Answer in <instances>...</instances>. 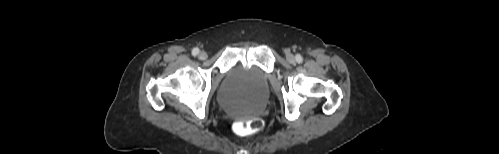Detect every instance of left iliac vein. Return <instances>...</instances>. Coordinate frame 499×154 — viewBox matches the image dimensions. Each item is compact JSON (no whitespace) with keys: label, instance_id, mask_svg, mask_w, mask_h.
Returning a JSON list of instances; mask_svg holds the SVG:
<instances>
[{"label":"left iliac vein","instance_id":"left-iliac-vein-1","mask_svg":"<svg viewBox=\"0 0 499 154\" xmlns=\"http://www.w3.org/2000/svg\"><path fill=\"white\" fill-rule=\"evenodd\" d=\"M286 57H287V60H288L289 62H291V63H294V62H295V57H294V55H293V54H291V53H287Z\"/></svg>","mask_w":499,"mask_h":154}]
</instances>
